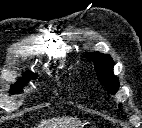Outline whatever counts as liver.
<instances>
[{
	"label": "liver",
	"instance_id": "liver-1",
	"mask_svg": "<svg viewBox=\"0 0 142 128\" xmlns=\"http://www.w3.org/2000/svg\"><path fill=\"white\" fill-rule=\"evenodd\" d=\"M80 122L73 117H63L54 122H43L38 128H77Z\"/></svg>",
	"mask_w": 142,
	"mask_h": 128
}]
</instances>
